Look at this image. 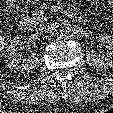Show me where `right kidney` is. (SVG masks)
Listing matches in <instances>:
<instances>
[{
    "mask_svg": "<svg viewBox=\"0 0 113 113\" xmlns=\"http://www.w3.org/2000/svg\"><path fill=\"white\" fill-rule=\"evenodd\" d=\"M24 43L25 40L21 36L14 37L7 47V52L5 55V63L7 67L17 73L30 72L38 63L36 53H31L27 60L21 59L22 54L18 51V48Z\"/></svg>",
    "mask_w": 113,
    "mask_h": 113,
    "instance_id": "right-kidney-1",
    "label": "right kidney"
}]
</instances>
